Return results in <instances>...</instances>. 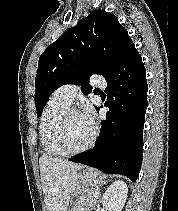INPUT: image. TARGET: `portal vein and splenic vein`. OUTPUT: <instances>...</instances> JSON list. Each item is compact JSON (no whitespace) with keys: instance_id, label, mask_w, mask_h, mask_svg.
<instances>
[{"instance_id":"obj_1","label":"portal vein and splenic vein","mask_w":178,"mask_h":211,"mask_svg":"<svg viewBox=\"0 0 178 211\" xmlns=\"http://www.w3.org/2000/svg\"><path fill=\"white\" fill-rule=\"evenodd\" d=\"M94 197H98V193L97 192L94 194Z\"/></svg>"}]
</instances>
